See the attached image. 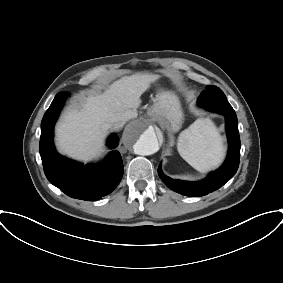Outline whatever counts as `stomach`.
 Here are the masks:
<instances>
[{
    "label": "stomach",
    "mask_w": 283,
    "mask_h": 283,
    "mask_svg": "<svg viewBox=\"0 0 283 283\" xmlns=\"http://www.w3.org/2000/svg\"><path fill=\"white\" fill-rule=\"evenodd\" d=\"M149 115L154 118L165 119L174 131L178 130L183 122V112L178 97L172 92L158 93Z\"/></svg>",
    "instance_id": "obj_1"
}]
</instances>
